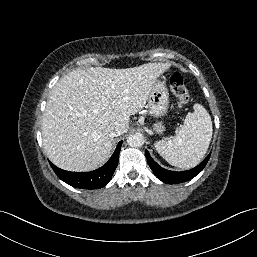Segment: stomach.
Segmentation results:
<instances>
[{
    "mask_svg": "<svg viewBox=\"0 0 257 257\" xmlns=\"http://www.w3.org/2000/svg\"><path fill=\"white\" fill-rule=\"evenodd\" d=\"M149 113L156 117H163L169 106V93L164 81L156 80L151 88L148 96ZM153 130L157 134H162L165 127L162 122H157L153 125Z\"/></svg>",
    "mask_w": 257,
    "mask_h": 257,
    "instance_id": "1",
    "label": "stomach"
}]
</instances>
